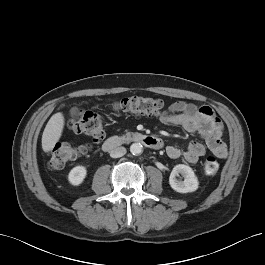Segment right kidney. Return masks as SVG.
I'll use <instances>...</instances> for the list:
<instances>
[{
  "label": "right kidney",
  "mask_w": 265,
  "mask_h": 265,
  "mask_svg": "<svg viewBox=\"0 0 265 265\" xmlns=\"http://www.w3.org/2000/svg\"><path fill=\"white\" fill-rule=\"evenodd\" d=\"M86 175L87 170L84 166H76L69 172L68 180L72 185L78 186L84 181Z\"/></svg>",
  "instance_id": "ca27d5eb"
}]
</instances>
